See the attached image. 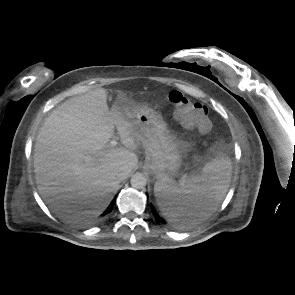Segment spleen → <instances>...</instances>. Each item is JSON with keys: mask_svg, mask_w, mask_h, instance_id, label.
Returning <instances> with one entry per match:
<instances>
[{"mask_svg": "<svg viewBox=\"0 0 295 295\" xmlns=\"http://www.w3.org/2000/svg\"><path fill=\"white\" fill-rule=\"evenodd\" d=\"M232 164L223 156L207 162L198 175L176 183L170 179L155 182L154 192L163 215L172 222L195 225L206 218V214L193 215L190 210L199 204L218 203L225 195Z\"/></svg>", "mask_w": 295, "mask_h": 295, "instance_id": "spleen-1", "label": "spleen"}]
</instances>
